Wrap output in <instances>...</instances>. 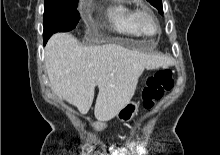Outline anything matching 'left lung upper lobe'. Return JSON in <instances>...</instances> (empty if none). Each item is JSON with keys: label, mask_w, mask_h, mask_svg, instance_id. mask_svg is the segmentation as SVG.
<instances>
[{"label": "left lung upper lobe", "mask_w": 220, "mask_h": 155, "mask_svg": "<svg viewBox=\"0 0 220 155\" xmlns=\"http://www.w3.org/2000/svg\"><path fill=\"white\" fill-rule=\"evenodd\" d=\"M148 2H150V4H152L155 8H157L160 14H163L161 0H148Z\"/></svg>", "instance_id": "5c2ea615"}]
</instances>
